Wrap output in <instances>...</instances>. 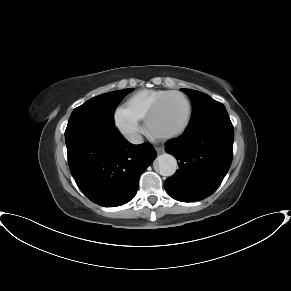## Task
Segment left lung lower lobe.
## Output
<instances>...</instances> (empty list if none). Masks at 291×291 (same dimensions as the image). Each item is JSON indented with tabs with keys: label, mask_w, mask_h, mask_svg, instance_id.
Listing matches in <instances>:
<instances>
[{
	"label": "left lung lower lobe",
	"mask_w": 291,
	"mask_h": 291,
	"mask_svg": "<svg viewBox=\"0 0 291 291\" xmlns=\"http://www.w3.org/2000/svg\"><path fill=\"white\" fill-rule=\"evenodd\" d=\"M233 141V125L225 110L188 126L182 136L168 142L166 152L179 161V169L164 183L168 195L182 202L210 196L230 168Z\"/></svg>",
	"instance_id": "0a47b994"
}]
</instances>
